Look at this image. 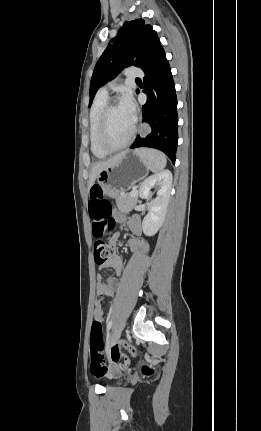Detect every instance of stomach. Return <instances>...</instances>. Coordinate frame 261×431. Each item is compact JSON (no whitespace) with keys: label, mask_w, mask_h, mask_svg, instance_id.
Wrapping results in <instances>:
<instances>
[{"label":"stomach","mask_w":261,"mask_h":431,"mask_svg":"<svg viewBox=\"0 0 261 431\" xmlns=\"http://www.w3.org/2000/svg\"><path fill=\"white\" fill-rule=\"evenodd\" d=\"M148 172V165L137 151H127L114 166L102 171L97 180L103 194L114 197L145 178Z\"/></svg>","instance_id":"stomach-1"}]
</instances>
